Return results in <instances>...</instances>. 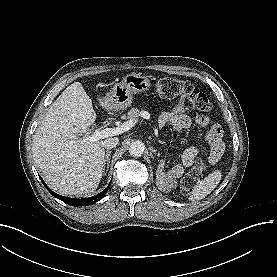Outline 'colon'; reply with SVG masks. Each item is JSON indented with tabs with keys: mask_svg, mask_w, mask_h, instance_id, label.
Masks as SVG:
<instances>
[{
	"mask_svg": "<svg viewBox=\"0 0 277 277\" xmlns=\"http://www.w3.org/2000/svg\"><path fill=\"white\" fill-rule=\"evenodd\" d=\"M156 93L160 98L172 99L175 97L186 98L193 108L201 113H209L212 105L208 97L196 88L190 81L166 77L156 83ZM216 161L213 156L207 162L198 161L185 175L181 182L183 194H190L195 185L201 179L208 166Z\"/></svg>",
	"mask_w": 277,
	"mask_h": 277,
	"instance_id": "1",
	"label": "colon"
}]
</instances>
